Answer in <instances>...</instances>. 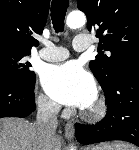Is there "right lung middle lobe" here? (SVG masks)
Here are the masks:
<instances>
[{
    "mask_svg": "<svg viewBox=\"0 0 139 150\" xmlns=\"http://www.w3.org/2000/svg\"><path fill=\"white\" fill-rule=\"evenodd\" d=\"M30 54L31 52L0 47V79L21 85L34 84L35 73L29 69L31 64L25 59V56Z\"/></svg>",
    "mask_w": 139,
    "mask_h": 150,
    "instance_id": "dd1d6c3e",
    "label": "right lung middle lobe"
}]
</instances>
